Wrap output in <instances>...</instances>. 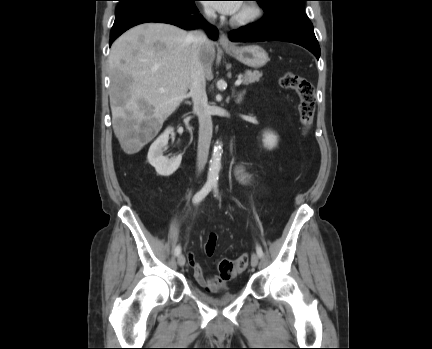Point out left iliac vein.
<instances>
[{
    "mask_svg": "<svg viewBox=\"0 0 432 349\" xmlns=\"http://www.w3.org/2000/svg\"><path fill=\"white\" fill-rule=\"evenodd\" d=\"M259 263V256L255 253L252 254L251 256V265L252 267H256Z\"/></svg>",
    "mask_w": 432,
    "mask_h": 349,
    "instance_id": "4c4485c4",
    "label": "left iliac vein"
}]
</instances>
